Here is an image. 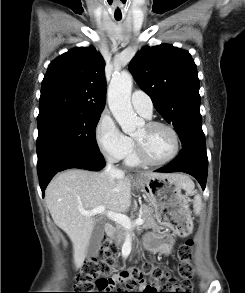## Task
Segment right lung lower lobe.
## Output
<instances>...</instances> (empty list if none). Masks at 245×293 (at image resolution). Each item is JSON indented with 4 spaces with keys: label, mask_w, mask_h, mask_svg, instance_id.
Segmentation results:
<instances>
[{
    "label": "right lung lower lobe",
    "mask_w": 245,
    "mask_h": 293,
    "mask_svg": "<svg viewBox=\"0 0 245 293\" xmlns=\"http://www.w3.org/2000/svg\"><path fill=\"white\" fill-rule=\"evenodd\" d=\"M105 166V160L101 153L85 151H69L58 154L51 158L41 169L38 170L39 183L44 191L53 176L69 168H79L91 171H99Z\"/></svg>",
    "instance_id": "1"
}]
</instances>
